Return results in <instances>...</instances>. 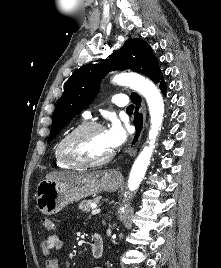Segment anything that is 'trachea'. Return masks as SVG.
I'll use <instances>...</instances> for the list:
<instances>
[{
	"label": "trachea",
	"mask_w": 221,
	"mask_h": 268,
	"mask_svg": "<svg viewBox=\"0 0 221 268\" xmlns=\"http://www.w3.org/2000/svg\"><path fill=\"white\" fill-rule=\"evenodd\" d=\"M133 109H134V105H129L128 107H127V111H133Z\"/></svg>",
	"instance_id": "1"
}]
</instances>
